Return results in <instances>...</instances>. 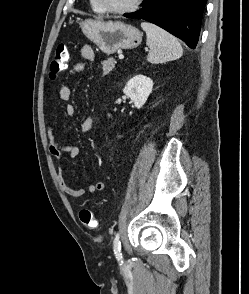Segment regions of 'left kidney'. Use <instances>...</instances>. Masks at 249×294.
<instances>
[{
    "label": "left kidney",
    "instance_id": "left-kidney-1",
    "mask_svg": "<svg viewBox=\"0 0 249 294\" xmlns=\"http://www.w3.org/2000/svg\"><path fill=\"white\" fill-rule=\"evenodd\" d=\"M152 88L153 81L149 77L139 74L127 82L123 93L130 97L137 109H140L146 103Z\"/></svg>",
    "mask_w": 249,
    "mask_h": 294
}]
</instances>
